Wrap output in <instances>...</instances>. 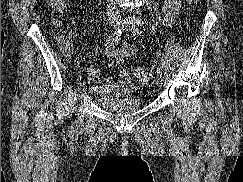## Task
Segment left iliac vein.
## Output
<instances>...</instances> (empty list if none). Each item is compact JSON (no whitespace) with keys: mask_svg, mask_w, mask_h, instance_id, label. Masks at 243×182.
<instances>
[{"mask_svg":"<svg viewBox=\"0 0 243 182\" xmlns=\"http://www.w3.org/2000/svg\"><path fill=\"white\" fill-rule=\"evenodd\" d=\"M127 30H128V29L126 28V29H125V32H126ZM161 80H162V79H161V75L158 74V75H157V78H156V80H155V84H156V85H159V84L161 83Z\"/></svg>","mask_w":243,"mask_h":182,"instance_id":"4c4485c4","label":"left iliac vein"}]
</instances>
